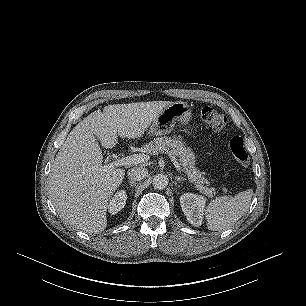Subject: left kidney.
I'll return each mask as SVG.
<instances>
[{"label":"left kidney","instance_id":"left-kidney-1","mask_svg":"<svg viewBox=\"0 0 306 306\" xmlns=\"http://www.w3.org/2000/svg\"><path fill=\"white\" fill-rule=\"evenodd\" d=\"M180 204L187 220L196 227L201 226L206 198L193 193H185L180 197Z\"/></svg>","mask_w":306,"mask_h":306}]
</instances>
